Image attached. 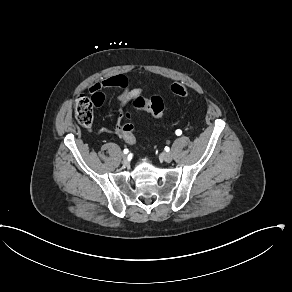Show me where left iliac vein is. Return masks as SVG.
<instances>
[{
	"label": "left iliac vein",
	"instance_id": "1",
	"mask_svg": "<svg viewBox=\"0 0 292 292\" xmlns=\"http://www.w3.org/2000/svg\"><path fill=\"white\" fill-rule=\"evenodd\" d=\"M161 158L167 162L170 163L173 160V155L170 152H165L161 154Z\"/></svg>",
	"mask_w": 292,
	"mask_h": 292
}]
</instances>
